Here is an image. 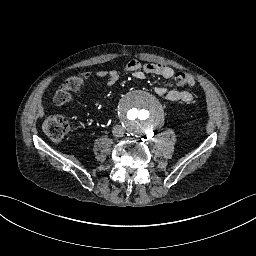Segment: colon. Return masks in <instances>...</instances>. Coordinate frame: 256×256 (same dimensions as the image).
Returning <instances> with one entry per match:
<instances>
[{
    "instance_id": "5ec220e1",
    "label": "colon",
    "mask_w": 256,
    "mask_h": 256,
    "mask_svg": "<svg viewBox=\"0 0 256 256\" xmlns=\"http://www.w3.org/2000/svg\"><path fill=\"white\" fill-rule=\"evenodd\" d=\"M175 81L183 87H193L196 84L193 76L182 71L175 74ZM84 84L85 79L81 74L67 78L55 92L53 103L56 106L68 104L71 100L70 93L82 88ZM43 131L52 140L60 141L68 131V123L62 117L51 116L44 121Z\"/></svg>"
}]
</instances>
